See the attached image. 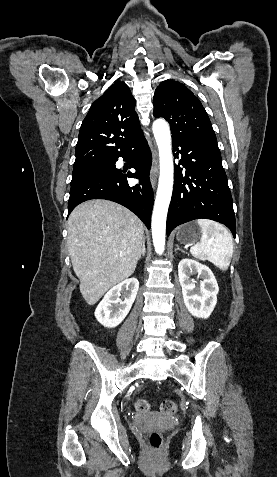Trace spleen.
Returning a JSON list of instances; mask_svg holds the SVG:
<instances>
[{
    "label": "spleen",
    "mask_w": 277,
    "mask_h": 477,
    "mask_svg": "<svg viewBox=\"0 0 277 477\" xmlns=\"http://www.w3.org/2000/svg\"><path fill=\"white\" fill-rule=\"evenodd\" d=\"M201 229L200 242L192 246L193 257L208 260L222 271H226L233 255V240L230 232L221 224L212 220L197 221Z\"/></svg>",
    "instance_id": "obj_1"
}]
</instances>
